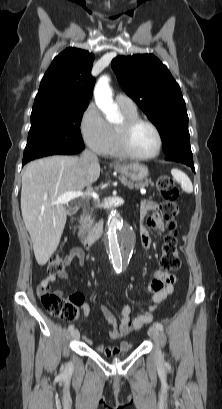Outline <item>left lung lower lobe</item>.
Wrapping results in <instances>:
<instances>
[{
    "label": "left lung lower lobe",
    "mask_w": 222,
    "mask_h": 409,
    "mask_svg": "<svg viewBox=\"0 0 222 409\" xmlns=\"http://www.w3.org/2000/svg\"><path fill=\"white\" fill-rule=\"evenodd\" d=\"M166 160L183 163L191 167V169L195 172L194 163H193V155L191 151L168 154L166 156Z\"/></svg>",
    "instance_id": "left-lung-lower-lobe-1"
}]
</instances>
